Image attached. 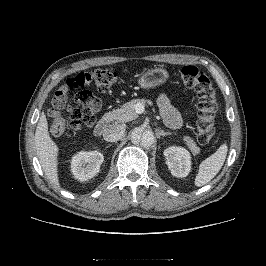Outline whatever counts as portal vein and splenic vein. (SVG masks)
Wrapping results in <instances>:
<instances>
[{
  "label": "portal vein and splenic vein",
  "instance_id": "portal-vein-and-splenic-vein-1",
  "mask_svg": "<svg viewBox=\"0 0 266 266\" xmlns=\"http://www.w3.org/2000/svg\"><path fill=\"white\" fill-rule=\"evenodd\" d=\"M135 110L137 113H142L144 111V105L141 103L136 104Z\"/></svg>",
  "mask_w": 266,
  "mask_h": 266
}]
</instances>
